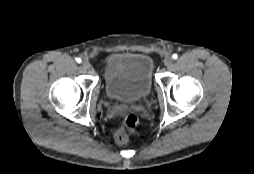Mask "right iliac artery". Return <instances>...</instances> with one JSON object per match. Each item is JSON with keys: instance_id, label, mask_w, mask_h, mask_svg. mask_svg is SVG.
Masks as SVG:
<instances>
[{"instance_id": "82829eb1", "label": "right iliac artery", "mask_w": 254, "mask_h": 174, "mask_svg": "<svg viewBox=\"0 0 254 174\" xmlns=\"http://www.w3.org/2000/svg\"><path fill=\"white\" fill-rule=\"evenodd\" d=\"M77 63H81V58H76Z\"/></svg>"}]
</instances>
